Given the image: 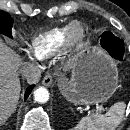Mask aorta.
<instances>
[{
  "mask_svg": "<svg viewBox=\"0 0 130 130\" xmlns=\"http://www.w3.org/2000/svg\"><path fill=\"white\" fill-rule=\"evenodd\" d=\"M34 98L39 103H45L49 100V92L44 87H39L34 91Z\"/></svg>",
  "mask_w": 130,
  "mask_h": 130,
  "instance_id": "762f6f07",
  "label": "aorta"
}]
</instances>
